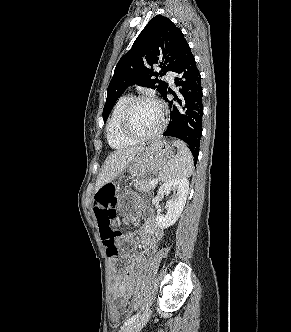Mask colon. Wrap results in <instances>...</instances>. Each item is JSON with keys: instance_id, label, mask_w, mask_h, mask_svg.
I'll return each mask as SVG.
<instances>
[{"instance_id": "1", "label": "colon", "mask_w": 291, "mask_h": 332, "mask_svg": "<svg viewBox=\"0 0 291 332\" xmlns=\"http://www.w3.org/2000/svg\"><path fill=\"white\" fill-rule=\"evenodd\" d=\"M95 208L100 235L106 253L109 258L118 257V248L116 245L120 233L116 227V207L115 192L113 190H103L95 197ZM110 320L113 325L119 320V313L115 308L110 310Z\"/></svg>"}]
</instances>
